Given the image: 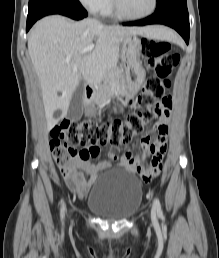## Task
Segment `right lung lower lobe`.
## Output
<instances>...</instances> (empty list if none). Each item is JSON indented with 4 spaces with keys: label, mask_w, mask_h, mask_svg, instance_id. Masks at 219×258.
I'll use <instances>...</instances> for the list:
<instances>
[{
    "label": "right lung lower lobe",
    "mask_w": 219,
    "mask_h": 258,
    "mask_svg": "<svg viewBox=\"0 0 219 258\" xmlns=\"http://www.w3.org/2000/svg\"><path fill=\"white\" fill-rule=\"evenodd\" d=\"M51 14H60L75 20H80L87 16L86 10L78 0H54L28 14L26 31L38 19Z\"/></svg>",
    "instance_id": "right-lung-lower-lobe-1"
}]
</instances>
